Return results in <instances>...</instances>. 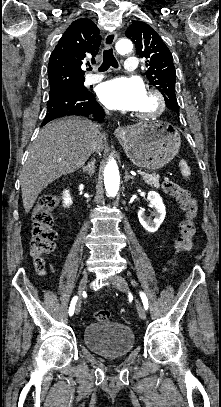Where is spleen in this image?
<instances>
[{
	"mask_svg": "<svg viewBox=\"0 0 221 407\" xmlns=\"http://www.w3.org/2000/svg\"><path fill=\"white\" fill-rule=\"evenodd\" d=\"M179 167L181 169V173H182L183 177L188 178L191 174V171H190V167L188 166L187 162L184 159H182L179 162Z\"/></svg>",
	"mask_w": 221,
	"mask_h": 407,
	"instance_id": "1",
	"label": "spleen"
}]
</instances>
